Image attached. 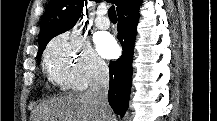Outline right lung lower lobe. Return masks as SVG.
Instances as JSON below:
<instances>
[{"instance_id": "right-lung-lower-lobe-1", "label": "right lung lower lobe", "mask_w": 217, "mask_h": 121, "mask_svg": "<svg viewBox=\"0 0 217 121\" xmlns=\"http://www.w3.org/2000/svg\"><path fill=\"white\" fill-rule=\"evenodd\" d=\"M142 0H125L117 11L119 17L118 38L123 53L117 61L109 65L110 86L108 100L114 112L124 116L129 102L132 82V57L139 19L138 8Z\"/></svg>"}]
</instances>
